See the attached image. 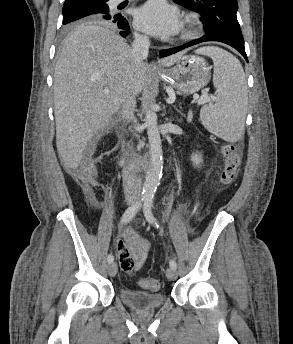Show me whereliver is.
<instances>
[{"instance_id": "obj_1", "label": "liver", "mask_w": 293, "mask_h": 344, "mask_svg": "<svg viewBox=\"0 0 293 344\" xmlns=\"http://www.w3.org/2000/svg\"><path fill=\"white\" fill-rule=\"evenodd\" d=\"M131 49L116 32L99 25L81 26L65 40L54 71L56 146L65 168L80 165L87 144L119 111ZM183 54L166 57L161 64L170 67ZM147 83L142 62L134 77L135 93Z\"/></svg>"}]
</instances>
